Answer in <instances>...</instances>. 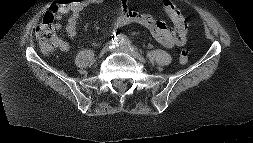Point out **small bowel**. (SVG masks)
<instances>
[{
  "instance_id": "small-bowel-1",
  "label": "small bowel",
  "mask_w": 253,
  "mask_h": 143,
  "mask_svg": "<svg viewBox=\"0 0 253 143\" xmlns=\"http://www.w3.org/2000/svg\"><path fill=\"white\" fill-rule=\"evenodd\" d=\"M107 0H58V8L55 14V27L61 29L63 26L62 18L69 15L65 25V31L70 39L75 38L77 34V24L81 12L92 5H98ZM164 11L170 17L174 24V31H172L165 22L156 19L151 14L139 13L130 10L129 0H119V7L114 16V25L116 27H124L130 24H137L149 30L152 36L163 46L167 48L180 47L186 42V32H181L177 29L178 19L174 15L172 9L177 8L170 0L164 2ZM179 18L185 21L183 15L178 10ZM62 50L67 51L70 45L67 42H61Z\"/></svg>"
}]
</instances>
